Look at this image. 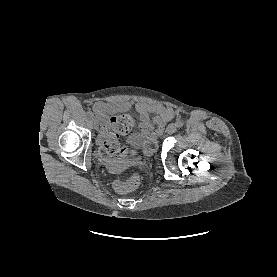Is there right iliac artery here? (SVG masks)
<instances>
[{
  "label": "right iliac artery",
  "instance_id": "1",
  "mask_svg": "<svg viewBox=\"0 0 277 277\" xmlns=\"http://www.w3.org/2000/svg\"><path fill=\"white\" fill-rule=\"evenodd\" d=\"M87 116L90 118V119H94V115H93V113L91 112V111H88L87 112Z\"/></svg>",
  "mask_w": 277,
  "mask_h": 277
}]
</instances>
